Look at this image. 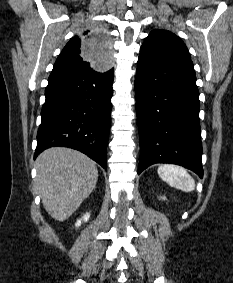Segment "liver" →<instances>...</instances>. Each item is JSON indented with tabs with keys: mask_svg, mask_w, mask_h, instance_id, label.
I'll return each instance as SVG.
<instances>
[{
	"mask_svg": "<svg viewBox=\"0 0 233 283\" xmlns=\"http://www.w3.org/2000/svg\"><path fill=\"white\" fill-rule=\"evenodd\" d=\"M36 185L45 210L58 221L68 219L95 189L96 163L63 147L43 151L36 161Z\"/></svg>",
	"mask_w": 233,
	"mask_h": 283,
	"instance_id": "6515ba94",
	"label": "liver"
}]
</instances>
